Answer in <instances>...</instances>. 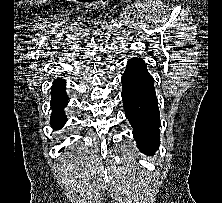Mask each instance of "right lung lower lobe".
<instances>
[{"label":"right lung lower lobe","mask_w":222,"mask_h":203,"mask_svg":"<svg viewBox=\"0 0 222 203\" xmlns=\"http://www.w3.org/2000/svg\"><path fill=\"white\" fill-rule=\"evenodd\" d=\"M64 89L65 81L63 79H56L53 82L51 91V108L53 113L50 118V123L54 129L63 127L67 121L63 109L68 104V96Z\"/></svg>","instance_id":"right-lung-lower-lobe-1"}]
</instances>
